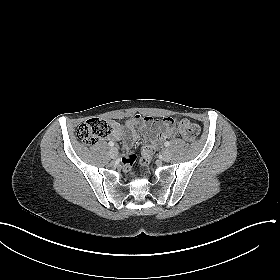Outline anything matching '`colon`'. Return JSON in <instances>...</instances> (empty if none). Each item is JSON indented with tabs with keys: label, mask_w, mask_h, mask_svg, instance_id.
<instances>
[{
	"label": "colon",
	"mask_w": 280,
	"mask_h": 280,
	"mask_svg": "<svg viewBox=\"0 0 280 280\" xmlns=\"http://www.w3.org/2000/svg\"><path fill=\"white\" fill-rule=\"evenodd\" d=\"M176 128L179 134L187 141L195 140L199 134L200 129L197 124L187 120L178 119L175 122ZM119 131V126L112 120H106L101 118H93L82 123L77 131L76 135L80 141L87 145H93L100 139L106 138L110 135H114ZM154 148L150 145H146L141 151V162L144 165L150 163ZM137 156L135 154L126 155L121 159L122 167L129 170L134 165Z\"/></svg>",
	"instance_id": "1"
}]
</instances>
